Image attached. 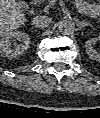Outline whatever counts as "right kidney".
Returning <instances> with one entry per match:
<instances>
[{
  "label": "right kidney",
  "mask_w": 100,
  "mask_h": 118,
  "mask_svg": "<svg viewBox=\"0 0 100 118\" xmlns=\"http://www.w3.org/2000/svg\"><path fill=\"white\" fill-rule=\"evenodd\" d=\"M18 40L20 43L14 42L12 48V41ZM30 44V37L27 33L22 31H11L7 34L1 35L0 38V53L3 57L14 58L23 54Z\"/></svg>",
  "instance_id": "ca27d5eb"
}]
</instances>
